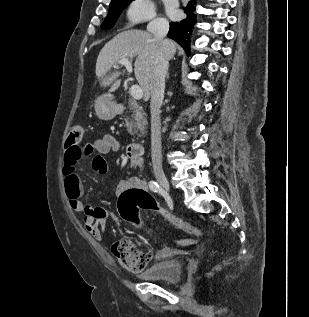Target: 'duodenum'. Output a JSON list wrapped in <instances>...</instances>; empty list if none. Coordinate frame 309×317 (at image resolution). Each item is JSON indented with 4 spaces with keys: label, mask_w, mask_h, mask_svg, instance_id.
I'll return each instance as SVG.
<instances>
[{
    "label": "duodenum",
    "mask_w": 309,
    "mask_h": 317,
    "mask_svg": "<svg viewBox=\"0 0 309 317\" xmlns=\"http://www.w3.org/2000/svg\"><path fill=\"white\" fill-rule=\"evenodd\" d=\"M144 152V147L140 142H132L127 146L126 153L129 158L140 157Z\"/></svg>",
    "instance_id": "410a0bca"
}]
</instances>
